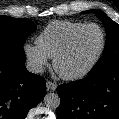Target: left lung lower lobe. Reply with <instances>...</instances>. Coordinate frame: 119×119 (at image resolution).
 Returning a JSON list of instances; mask_svg holds the SVG:
<instances>
[{"mask_svg":"<svg viewBox=\"0 0 119 119\" xmlns=\"http://www.w3.org/2000/svg\"><path fill=\"white\" fill-rule=\"evenodd\" d=\"M57 119H119V66L57 88Z\"/></svg>","mask_w":119,"mask_h":119,"instance_id":"left-lung-lower-lobe-1","label":"left lung lower lobe"}]
</instances>
